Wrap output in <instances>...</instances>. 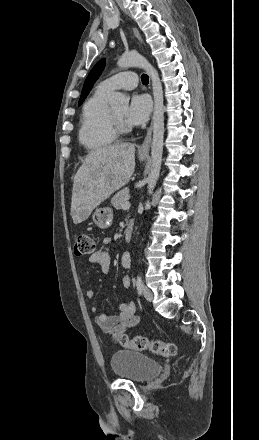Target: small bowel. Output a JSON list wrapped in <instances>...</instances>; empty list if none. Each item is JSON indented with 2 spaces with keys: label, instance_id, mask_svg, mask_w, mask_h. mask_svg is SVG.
<instances>
[{
  "label": "small bowel",
  "instance_id": "small-bowel-1",
  "mask_svg": "<svg viewBox=\"0 0 259 440\" xmlns=\"http://www.w3.org/2000/svg\"><path fill=\"white\" fill-rule=\"evenodd\" d=\"M89 261L99 266L105 274L108 273L111 266L110 255L104 250L94 251L90 255ZM121 265L125 269L131 266V255L129 252L122 254ZM122 285L125 288L130 287L131 277L129 275L122 277ZM85 295L88 299H92L95 296V292L92 289H87ZM135 310V303L131 300L122 303L118 308V313L113 315L101 312L97 305L91 307V312L95 315L96 324L104 333L111 335L113 341L119 340L127 328L134 327L140 322V317L135 313Z\"/></svg>",
  "mask_w": 259,
  "mask_h": 440
}]
</instances>
